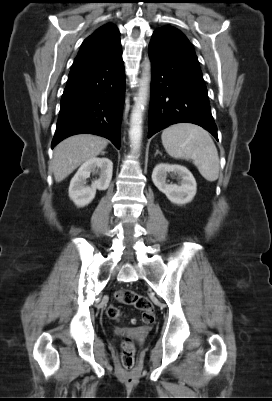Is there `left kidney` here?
Listing matches in <instances>:
<instances>
[{"mask_svg":"<svg viewBox=\"0 0 272 401\" xmlns=\"http://www.w3.org/2000/svg\"><path fill=\"white\" fill-rule=\"evenodd\" d=\"M170 172L181 178L180 185L166 183L167 174ZM152 181L159 191L177 205L191 202L197 191V184L192 173L181 165L158 164L153 170Z\"/></svg>","mask_w":272,"mask_h":401,"instance_id":"obj_1","label":"left kidney"}]
</instances>
